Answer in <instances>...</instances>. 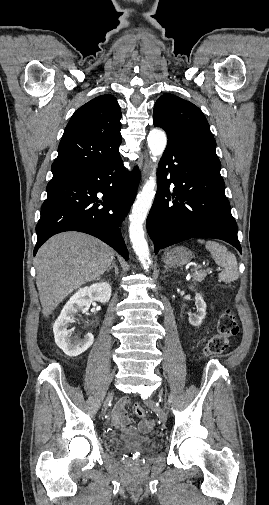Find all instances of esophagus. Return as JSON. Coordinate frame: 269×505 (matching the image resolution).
Listing matches in <instances>:
<instances>
[{"instance_id":"obj_1","label":"esophagus","mask_w":269,"mask_h":505,"mask_svg":"<svg viewBox=\"0 0 269 505\" xmlns=\"http://www.w3.org/2000/svg\"><path fill=\"white\" fill-rule=\"evenodd\" d=\"M150 160L148 157H146V160H145V165H144V169H143V173H144V178L146 177V175L148 174V171H149V168H150Z\"/></svg>"}]
</instances>
